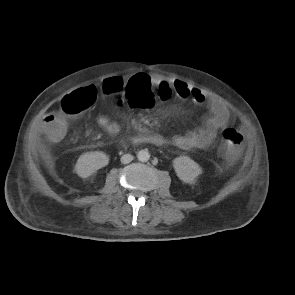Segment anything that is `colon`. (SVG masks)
Returning <instances> with one entry per match:
<instances>
[{
  "label": "colon",
  "instance_id": "obj_1",
  "mask_svg": "<svg viewBox=\"0 0 295 295\" xmlns=\"http://www.w3.org/2000/svg\"><path fill=\"white\" fill-rule=\"evenodd\" d=\"M121 96L125 93L126 102L132 110H152L156 102H165L171 96L169 88H163L159 93H154L153 87H127L121 79L104 82L98 89L95 86H86L75 90L65 96L54 115V120L47 128L46 134L53 141L61 140L68 129L69 118L76 116L88 109L96 100L98 92ZM224 153L227 157L235 158L242 148L244 137L235 128L223 131Z\"/></svg>",
  "mask_w": 295,
  "mask_h": 295
}]
</instances>
